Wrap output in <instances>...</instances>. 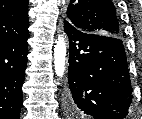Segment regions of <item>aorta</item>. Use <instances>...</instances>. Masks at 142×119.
I'll list each match as a JSON object with an SVG mask.
<instances>
[{
	"instance_id": "aorta-1",
	"label": "aorta",
	"mask_w": 142,
	"mask_h": 119,
	"mask_svg": "<svg viewBox=\"0 0 142 119\" xmlns=\"http://www.w3.org/2000/svg\"><path fill=\"white\" fill-rule=\"evenodd\" d=\"M66 54H67L66 42L64 37L60 35L55 41V46H54V69H55V74L59 78H62L65 72Z\"/></svg>"
}]
</instances>
